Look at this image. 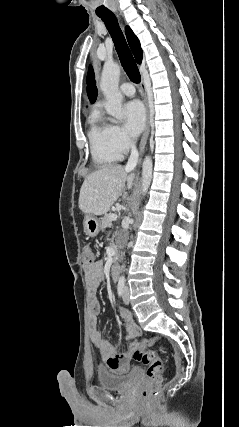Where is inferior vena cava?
<instances>
[{"label":"inferior vena cava","mask_w":239,"mask_h":427,"mask_svg":"<svg viewBox=\"0 0 239 427\" xmlns=\"http://www.w3.org/2000/svg\"><path fill=\"white\" fill-rule=\"evenodd\" d=\"M130 148H131V154L126 165V169L128 170H132L136 166L138 162V157H139L135 142L133 141L130 142Z\"/></svg>","instance_id":"602c4592"}]
</instances>
